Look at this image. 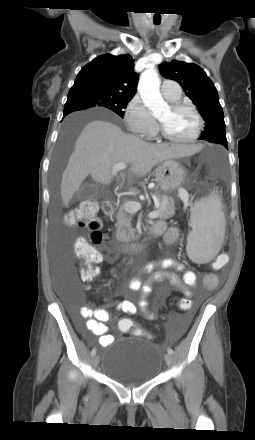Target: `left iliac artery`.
I'll list each match as a JSON object with an SVG mask.
<instances>
[{"label": "left iliac artery", "mask_w": 255, "mask_h": 440, "mask_svg": "<svg viewBox=\"0 0 255 440\" xmlns=\"http://www.w3.org/2000/svg\"><path fill=\"white\" fill-rule=\"evenodd\" d=\"M167 351H168L169 354H171V355L173 354V350L171 348H168Z\"/></svg>", "instance_id": "left-iliac-artery-1"}]
</instances>
